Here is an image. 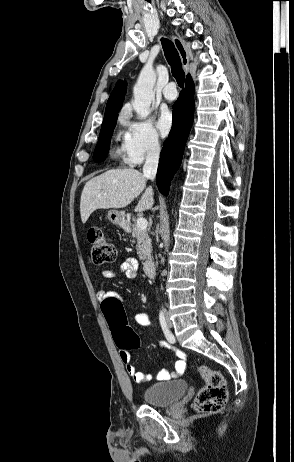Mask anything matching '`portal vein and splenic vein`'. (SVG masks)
Masks as SVG:
<instances>
[{
	"mask_svg": "<svg viewBox=\"0 0 294 462\" xmlns=\"http://www.w3.org/2000/svg\"><path fill=\"white\" fill-rule=\"evenodd\" d=\"M136 224L140 230H145L148 226V222L145 218H138Z\"/></svg>",
	"mask_w": 294,
	"mask_h": 462,
	"instance_id": "portal-vein-and-splenic-vein-1",
	"label": "portal vein and splenic vein"
}]
</instances>
